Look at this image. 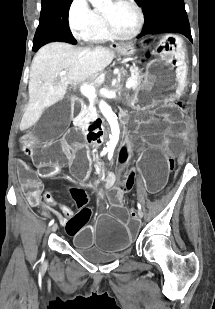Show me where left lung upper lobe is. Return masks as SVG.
<instances>
[{"mask_svg": "<svg viewBox=\"0 0 215 309\" xmlns=\"http://www.w3.org/2000/svg\"><path fill=\"white\" fill-rule=\"evenodd\" d=\"M136 1L141 5L145 16V24L138 37L157 32L180 33L192 42L183 0Z\"/></svg>", "mask_w": 215, "mask_h": 309, "instance_id": "obj_1", "label": "left lung upper lobe"}]
</instances>
